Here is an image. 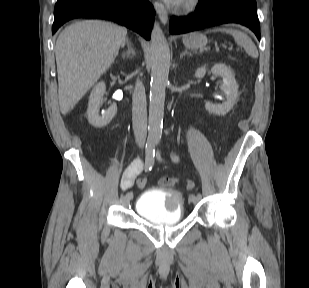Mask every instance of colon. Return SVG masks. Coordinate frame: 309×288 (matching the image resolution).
Here are the masks:
<instances>
[{
    "instance_id": "5ec220e1",
    "label": "colon",
    "mask_w": 309,
    "mask_h": 288,
    "mask_svg": "<svg viewBox=\"0 0 309 288\" xmlns=\"http://www.w3.org/2000/svg\"><path fill=\"white\" fill-rule=\"evenodd\" d=\"M178 182H179V180L177 178H174V177H165V178H162L161 181H160V183L163 187H173V186L177 185ZM146 184H147V179L144 178V177H140L137 180V185L140 188L144 187ZM185 185H186V189L188 191H192L195 188L194 182L190 179L186 180Z\"/></svg>"
}]
</instances>
